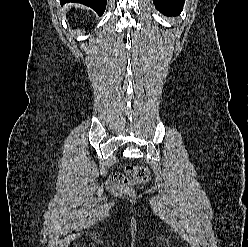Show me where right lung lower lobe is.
Listing matches in <instances>:
<instances>
[{
    "instance_id": "obj_1",
    "label": "right lung lower lobe",
    "mask_w": 248,
    "mask_h": 247,
    "mask_svg": "<svg viewBox=\"0 0 248 247\" xmlns=\"http://www.w3.org/2000/svg\"><path fill=\"white\" fill-rule=\"evenodd\" d=\"M62 4L67 2H76L84 4L94 9L98 14L102 15L106 8L107 0H60Z\"/></svg>"
}]
</instances>
